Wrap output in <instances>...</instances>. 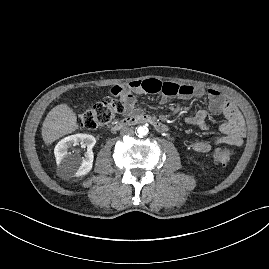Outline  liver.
<instances>
[{
	"label": "liver",
	"mask_w": 269,
	"mask_h": 269,
	"mask_svg": "<svg viewBox=\"0 0 269 269\" xmlns=\"http://www.w3.org/2000/svg\"><path fill=\"white\" fill-rule=\"evenodd\" d=\"M77 128L76 113L66 103H62L49 111L43 122L41 134L44 142L51 144Z\"/></svg>",
	"instance_id": "liver-1"
}]
</instances>
